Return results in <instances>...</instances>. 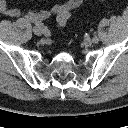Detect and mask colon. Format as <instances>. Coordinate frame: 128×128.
Returning <instances> with one entry per match:
<instances>
[{
    "instance_id": "colon-1",
    "label": "colon",
    "mask_w": 128,
    "mask_h": 128,
    "mask_svg": "<svg viewBox=\"0 0 128 128\" xmlns=\"http://www.w3.org/2000/svg\"><path fill=\"white\" fill-rule=\"evenodd\" d=\"M71 17V10H62L56 14V22L58 27L63 28L67 25Z\"/></svg>"
}]
</instances>
